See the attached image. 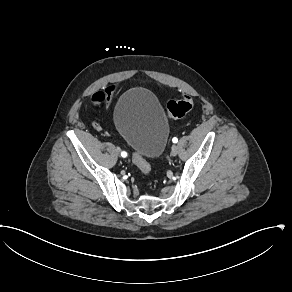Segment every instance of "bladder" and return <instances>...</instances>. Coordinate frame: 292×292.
Segmentation results:
<instances>
[{
  "instance_id": "31cf9c89",
  "label": "bladder",
  "mask_w": 292,
  "mask_h": 292,
  "mask_svg": "<svg viewBox=\"0 0 292 292\" xmlns=\"http://www.w3.org/2000/svg\"><path fill=\"white\" fill-rule=\"evenodd\" d=\"M113 121L135 153L155 159L163 152L169 123L158 98L149 89L134 87L124 92L115 105Z\"/></svg>"
}]
</instances>
